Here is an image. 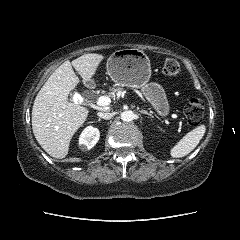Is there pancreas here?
<instances>
[{
  "label": "pancreas",
  "mask_w": 240,
  "mask_h": 240,
  "mask_svg": "<svg viewBox=\"0 0 240 240\" xmlns=\"http://www.w3.org/2000/svg\"><path fill=\"white\" fill-rule=\"evenodd\" d=\"M120 90L121 88H112L111 92L109 93V96L114 99L116 97V94L119 93Z\"/></svg>",
  "instance_id": "obj_1"
}]
</instances>
